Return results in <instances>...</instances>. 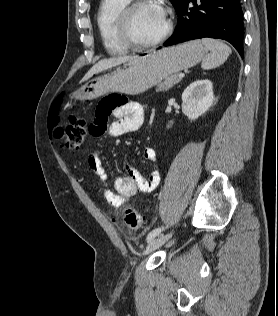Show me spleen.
I'll list each match as a JSON object with an SVG mask.
<instances>
[{
    "label": "spleen",
    "instance_id": "obj_1",
    "mask_svg": "<svg viewBox=\"0 0 278 316\" xmlns=\"http://www.w3.org/2000/svg\"><path fill=\"white\" fill-rule=\"evenodd\" d=\"M201 42L211 51L210 54L203 58L201 66L204 70L218 67L227 60L231 53L230 47L222 41L211 38H203Z\"/></svg>",
    "mask_w": 278,
    "mask_h": 316
}]
</instances>
